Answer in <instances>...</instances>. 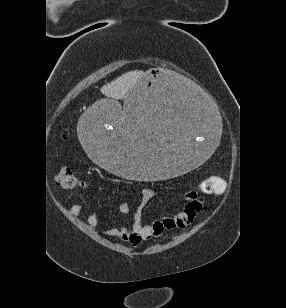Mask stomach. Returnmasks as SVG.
Returning a JSON list of instances; mask_svg holds the SVG:
<instances>
[{
  "label": "stomach",
  "instance_id": "stomach-1",
  "mask_svg": "<svg viewBox=\"0 0 286 308\" xmlns=\"http://www.w3.org/2000/svg\"><path fill=\"white\" fill-rule=\"evenodd\" d=\"M125 100L121 109L114 97H94L93 109H81L89 161L127 182H167L213 159L222 132L214 100L162 69L143 73Z\"/></svg>",
  "mask_w": 286,
  "mask_h": 308
}]
</instances>
